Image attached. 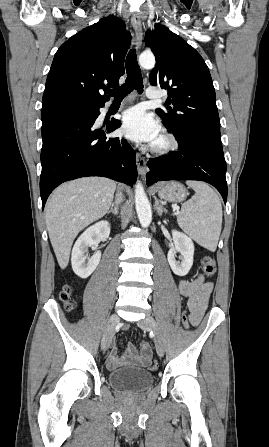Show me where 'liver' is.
Segmentation results:
<instances>
[{
  "label": "liver",
  "mask_w": 269,
  "mask_h": 447,
  "mask_svg": "<svg viewBox=\"0 0 269 447\" xmlns=\"http://www.w3.org/2000/svg\"><path fill=\"white\" fill-rule=\"evenodd\" d=\"M116 184L107 178H80L66 182L46 204L45 222L50 241L62 269L68 265L72 243L86 225L108 212Z\"/></svg>",
  "instance_id": "liver-1"
}]
</instances>
